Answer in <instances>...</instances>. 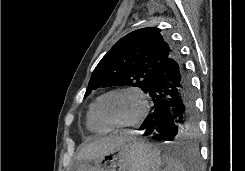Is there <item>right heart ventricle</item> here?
<instances>
[{"mask_svg":"<svg viewBox=\"0 0 245 171\" xmlns=\"http://www.w3.org/2000/svg\"><path fill=\"white\" fill-rule=\"evenodd\" d=\"M97 99H95L89 106L87 117H86V125L92 132L95 133H106L110 130L109 127L105 126L100 122L96 115V103Z\"/></svg>","mask_w":245,"mask_h":171,"instance_id":"1","label":"right heart ventricle"}]
</instances>
